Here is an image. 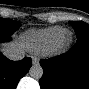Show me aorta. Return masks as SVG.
Here are the masks:
<instances>
[{
    "instance_id": "762f6f07",
    "label": "aorta",
    "mask_w": 89,
    "mask_h": 89,
    "mask_svg": "<svg viewBox=\"0 0 89 89\" xmlns=\"http://www.w3.org/2000/svg\"><path fill=\"white\" fill-rule=\"evenodd\" d=\"M29 75L34 79H40L43 75V69L40 65H33L29 70Z\"/></svg>"
}]
</instances>
